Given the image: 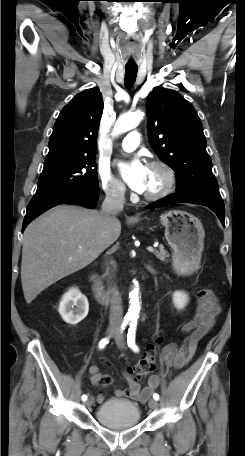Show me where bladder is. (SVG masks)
<instances>
[{"label":"bladder","instance_id":"obj_1","mask_svg":"<svg viewBox=\"0 0 245 456\" xmlns=\"http://www.w3.org/2000/svg\"><path fill=\"white\" fill-rule=\"evenodd\" d=\"M97 421L111 429H127L137 426L141 420V410L133 402L125 399H110L96 410Z\"/></svg>","mask_w":245,"mask_h":456}]
</instances>
